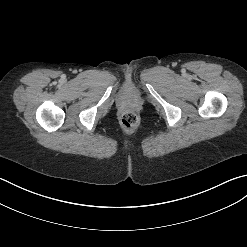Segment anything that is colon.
Segmentation results:
<instances>
[{
    "instance_id": "1",
    "label": "colon",
    "mask_w": 247,
    "mask_h": 247,
    "mask_svg": "<svg viewBox=\"0 0 247 247\" xmlns=\"http://www.w3.org/2000/svg\"><path fill=\"white\" fill-rule=\"evenodd\" d=\"M121 124L127 129L134 128L138 124V116L134 112L128 111L122 115Z\"/></svg>"
}]
</instances>
